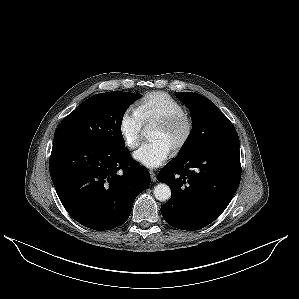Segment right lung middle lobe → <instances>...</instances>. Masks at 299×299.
Wrapping results in <instances>:
<instances>
[{"mask_svg":"<svg viewBox=\"0 0 299 299\" xmlns=\"http://www.w3.org/2000/svg\"><path fill=\"white\" fill-rule=\"evenodd\" d=\"M140 96L121 91L96 94L63 119L54 139L68 138L111 150L124 148L123 115Z\"/></svg>","mask_w":299,"mask_h":299,"instance_id":"obj_1","label":"right lung middle lobe"}]
</instances>
